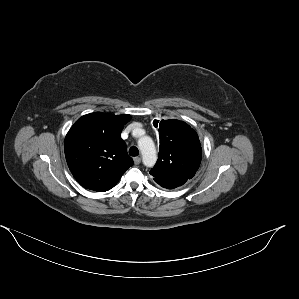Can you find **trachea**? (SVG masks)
Masks as SVG:
<instances>
[{
	"instance_id": "obj_1",
	"label": "trachea",
	"mask_w": 299,
	"mask_h": 299,
	"mask_svg": "<svg viewBox=\"0 0 299 299\" xmlns=\"http://www.w3.org/2000/svg\"><path fill=\"white\" fill-rule=\"evenodd\" d=\"M129 154L131 155V156H138V154H139V150H138V148L137 147H131L130 149H129Z\"/></svg>"
}]
</instances>
